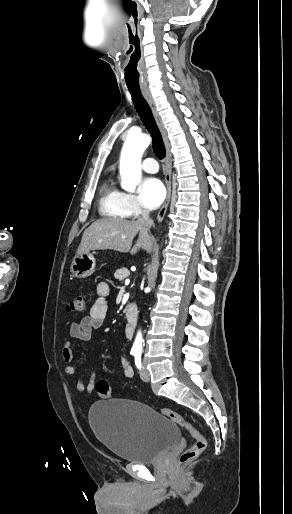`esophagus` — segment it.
<instances>
[{"mask_svg": "<svg viewBox=\"0 0 292 514\" xmlns=\"http://www.w3.org/2000/svg\"><path fill=\"white\" fill-rule=\"evenodd\" d=\"M141 92H142L143 97L146 99L149 107L151 108V111H152L153 117L155 119V122H156L157 126L159 127V129L161 131V134H162V137H163V141H164V144H165V148H166L165 184H166V188H167V197H166V200H165L164 204L162 205V207L160 208V210H159V212L157 214V221L158 222H162V220L164 219V216L166 214L167 208L169 206L170 197H171L172 154H171V151H170V143H169L167 134L165 132L162 120H161L160 115H159V113L157 111V108H156L155 102H154V100L152 98V95H151L149 90L141 89Z\"/></svg>", "mask_w": 292, "mask_h": 514, "instance_id": "esophagus-1", "label": "esophagus"}]
</instances>
